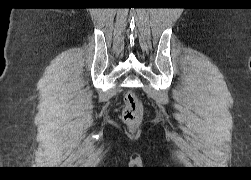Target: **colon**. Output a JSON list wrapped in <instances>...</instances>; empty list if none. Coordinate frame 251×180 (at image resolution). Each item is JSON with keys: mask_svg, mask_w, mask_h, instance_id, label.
<instances>
[{"mask_svg": "<svg viewBox=\"0 0 251 180\" xmlns=\"http://www.w3.org/2000/svg\"><path fill=\"white\" fill-rule=\"evenodd\" d=\"M143 107L140 99L133 92H128L124 98V107L122 110V118L124 122L136 127L142 120Z\"/></svg>", "mask_w": 251, "mask_h": 180, "instance_id": "1", "label": "colon"}]
</instances>
